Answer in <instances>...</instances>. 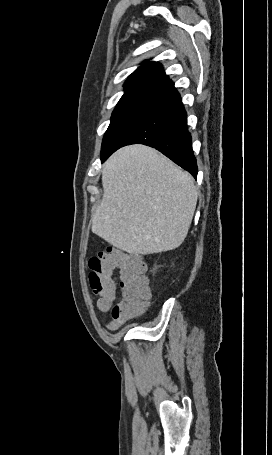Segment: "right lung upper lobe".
Segmentation results:
<instances>
[{"label":"right lung upper lobe","mask_w":272,"mask_h":455,"mask_svg":"<svg viewBox=\"0 0 272 455\" xmlns=\"http://www.w3.org/2000/svg\"><path fill=\"white\" fill-rule=\"evenodd\" d=\"M124 90L125 93L120 101L141 99L158 101L166 105L180 97L162 65L149 61L128 77Z\"/></svg>","instance_id":"right-lung-upper-lobe-1"}]
</instances>
